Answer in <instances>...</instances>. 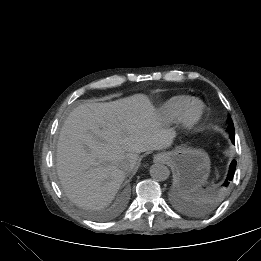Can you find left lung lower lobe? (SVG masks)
Segmentation results:
<instances>
[{
	"instance_id": "0a47b994",
	"label": "left lung lower lobe",
	"mask_w": 261,
	"mask_h": 261,
	"mask_svg": "<svg viewBox=\"0 0 261 261\" xmlns=\"http://www.w3.org/2000/svg\"><path fill=\"white\" fill-rule=\"evenodd\" d=\"M230 139H231L232 143L234 144L235 143V137H234L233 134H230ZM235 169H236V161H232V163L230 164V168H229V172H228V175H227V179L225 180L226 183L229 184L230 181L232 180V178L234 176V173H235Z\"/></svg>"
}]
</instances>
